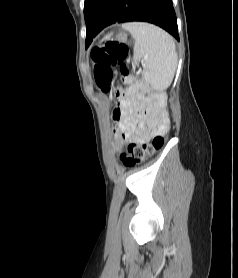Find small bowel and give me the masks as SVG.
Instances as JSON below:
<instances>
[{"instance_id":"small-bowel-1","label":"small bowel","mask_w":238,"mask_h":278,"mask_svg":"<svg viewBox=\"0 0 238 278\" xmlns=\"http://www.w3.org/2000/svg\"><path fill=\"white\" fill-rule=\"evenodd\" d=\"M114 118L120 132L116 147L122 142L143 143L161 129L157 103L141 85L131 86L121 95Z\"/></svg>"}]
</instances>
